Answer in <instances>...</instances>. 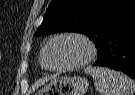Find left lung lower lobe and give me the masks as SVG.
<instances>
[{
	"mask_svg": "<svg viewBox=\"0 0 135 95\" xmlns=\"http://www.w3.org/2000/svg\"><path fill=\"white\" fill-rule=\"evenodd\" d=\"M93 65L122 71L135 79V19L106 37Z\"/></svg>",
	"mask_w": 135,
	"mask_h": 95,
	"instance_id": "0a47b994",
	"label": "left lung lower lobe"
}]
</instances>
